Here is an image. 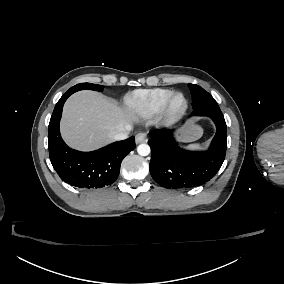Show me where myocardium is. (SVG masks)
<instances>
[{
	"mask_svg": "<svg viewBox=\"0 0 284 284\" xmlns=\"http://www.w3.org/2000/svg\"><path fill=\"white\" fill-rule=\"evenodd\" d=\"M179 95L183 97V106L178 112L174 113L171 110V103L173 99ZM188 108L189 100L187 96L180 91L173 92L167 98H165L160 109L155 114V122L162 127L174 126L184 118L188 111Z\"/></svg>",
	"mask_w": 284,
	"mask_h": 284,
	"instance_id": "1",
	"label": "myocardium"
}]
</instances>
